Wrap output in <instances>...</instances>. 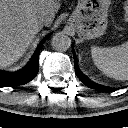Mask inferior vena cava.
<instances>
[{"label": "inferior vena cava", "instance_id": "inferior-vena-cava-1", "mask_svg": "<svg viewBox=\"0 0 128 128\" xmlns=\"http://www.w3.org/2000/svg\"><path fill=\"white\" fill-rule=\"evenodd\" d=\"M39 20L41 22H46L48 20V13L43 11L40 15H39Z\"/></svg>", "mask_w": 128, "mask_h": 128}]
</instances>
